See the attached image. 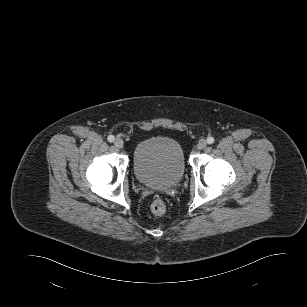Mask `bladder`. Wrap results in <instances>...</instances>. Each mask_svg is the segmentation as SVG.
I'll return each mask as SVG.
<instances>
[{
  "label": "bladder",
  "instance_id": "obj_1",
  "mask_svg": "<svg viewBox=\"0 0 307 307\" xmlns=\"http://www.w3.org/2000/svg\"><path fill=\"white\" fill-rule=\"evenodd\" d=\"M186 169L181 144L170 137H153L140 142L133 152V171L143 185L166 189L177 185Z\"/></svg>",
  "mask_w": 307,
  "mask_h": 307
}]
</instances>
